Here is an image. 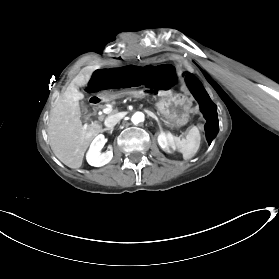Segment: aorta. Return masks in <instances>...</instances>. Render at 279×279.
Returning a JSON list of instances; mask_svg holds the SVG:
<instances>
[{
    "mask_svg": "<svg viewBox=\"0 0 279 279\" xmlns=\"http://www.w3.org/2000/svg\"><path fill=\"white\" fill-rule=\"evenodd\" d=\"M145 119V116L142 112H136L132 115V118H131V121L134 123V124H138L140 122H143Z\"/></svg>",
    "mask_w": 279,
    "mask_h": 279,
    "instance_id": "1",
    "label": "aorta"
}]
</instances>
